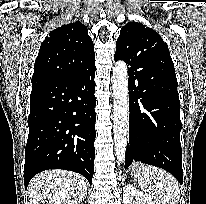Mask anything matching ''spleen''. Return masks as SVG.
I'll use <instances>...</instances> for the list:
<instances>
[{
    "label": "spleen",
    "mask_w": 206,
    "mask_h": 204,
    "mask_svg": "<svg viewBox=\"0 0 206 204\" xmlns=\"http://www.w3.org/2000/svg\"><path fill=\"white\" fill-rule=\"evenodd\" d=\"M139 185L155 204H178L179 202L178 182L163 169L145 165Z\"/></svg>",
    "instance_id": "1"
}]
</instances>
